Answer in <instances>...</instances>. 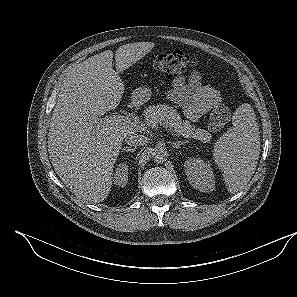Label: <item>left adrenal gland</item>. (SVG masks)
<instances>
[{"instance_id": "a2214340", "label": "left adrenal gland", "mask_w": 297, "mask_h": 297, "mask_svg": "<svg viewBox=\"0 0 297 297\" xmlns=\"http://www.w3.org/2000/svg\"><path fill=\"white\" fill-rule=\"evenodd\" d=\"M187 143V141H178V142H173L172 146L176 149H179L181 147V145Z\"/></svg>"}]
</instances>
